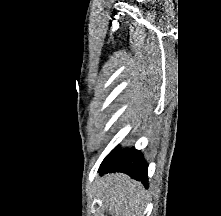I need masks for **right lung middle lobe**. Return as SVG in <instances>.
Here are the masks:
<instances>
[{
  "label": "right lung middle lobe",
  "mask_w": 221,
  "mask_h": 216,
  "mask_svg": "<svg viewBox=\"0 0 221 216\" xmlns=\"http://www.w3.org/2000/svg\"><path fill=\"white\" fill-rule=\"evenodd\" d=\"M125 150H119L117 147L111 151V153L104 159V161L102 162V164H105L107 162H109L110 160H112L115 156L119 155L120 153H122Z\"/></svg>",
  "instance_id": "dd1d6c3e"
}]
</instances>
